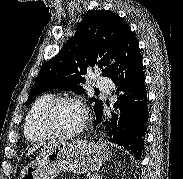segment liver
Instances as JSON below:
<instances>
[{
    "mask_svg": "<svg viewBox=\"0 0 183 179\" xmlns=\"http://www.w3.org/2000/svg\"><path fill=\"white\" fill-rule=\"evenodd\" d=\"M39 147H40V145H37V146L33 147L32 149H30V150L28 151V153H27L26 156L31 155V154H32L34 151H36Z\"/></svg>",
    "mask_w": 183,
    "mask_h": 179,
    "instance_id": "6515ba94",
    "label": "liver"
}]
</instances>
